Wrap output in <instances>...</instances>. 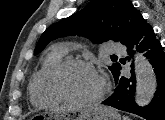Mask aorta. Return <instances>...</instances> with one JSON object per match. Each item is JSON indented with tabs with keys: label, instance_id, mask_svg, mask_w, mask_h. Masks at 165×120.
Masks as SVG:
<instances>
[{
	"label": "aorta",
	"instance_id": "1",
	"mask_svg": "<svg viewBox=\"0 0 165 120\" xmlns=\"http://www.w3.org/2000/svg\"><path fill=\"white\" fill-rule=\"evenodd\" d=\"M135 74V102L138 106H145L151 102L156 91V76L149 61L140 53L135 58Z\"/></svg>",
	"mask_w": 165,
	"mask_h": 120
}]
</instances>
